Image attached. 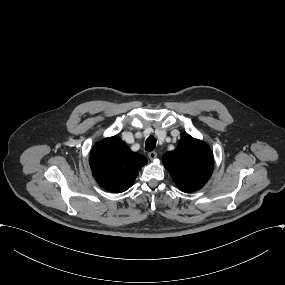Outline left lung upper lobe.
Here are the masks:
<instances>
[{"label": "left lung upper lobe", "instance_id": "1", "mask_svg": "<svg viewBox=\"0 0 285 285\" xmlns=\"http://www.w3.org/2000/svg\"><path fill=\"white\" fill-rule=\"evenodd\" d=\"M163 164L181 191L193 192L210 178L213 154L206 143L184 135L177 148L163 156Z\"/></svg>", "mask_w": 285, "mask_h": 285}]
</instances>
